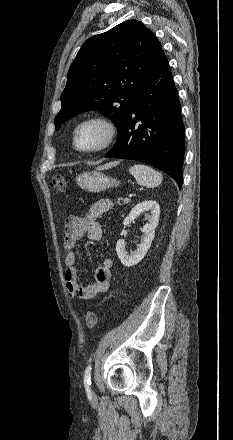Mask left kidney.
<instances>
[{
	"label": "left kidney",
	"mask_w": 233,
	"mask_h": 440,
	"mask_svg": "<svg viewBox=\"0 0 233 440\" xmlns=\"http://www.w3.org/2000/svg\"><path fill=\"white\" fill-rule=\"evenodd\" d=\"M150 211V215L147 216L148 223H146L142 228L141 232L143 236L141 237V242L138 244V248L133 251L130 255L125 250V240L119 239L116 244V252L121 261V263L126 267H131L138 264L146 255L148 249L155 236V229L158 225L160 207L156 201L148 200L137 204L129 213V215L124 219L123 225L126 226L134 221L142 213Z\"/></svg>",
	"instance_id": "left-kidney-1"
}]
</instances>
